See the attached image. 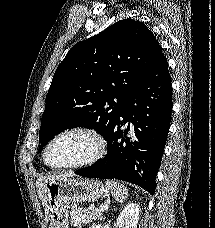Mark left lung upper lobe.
<instances>
[{"instance_id":"5c2ea615","label":"left lung upper lobe","mask_w":215,"mask_h":228,"mask_svg":"<svg viewBox=\"0 0 215 228\" xmlns=\"http://www.w3.org/2000/svg\"><path fill=\"white\" fill-rule=\"evenodd\" d=\"M161 50L144 23L132 19L74 45L57 67L46 97L39 152L67 128H91L107 139L121 107Z\"/></svg>"}]
</instances>
